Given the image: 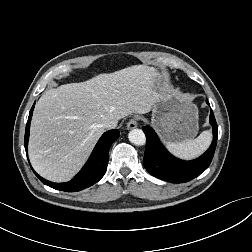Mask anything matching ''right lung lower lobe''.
Listing matches in <instances>:
<instances>
[{"mask_svg": "<svg viewBox=\"0 0 252 252\" xmlns=\"http://www.w3.org/2000/svg\"><path fill=\"white\" fill-rule=\"evenodd\" d=\"M34 105L31 108L28 117V122L26 124L25 139H24L26 153L29 139V128ZM119 134L120 132L117 129L110 130L104 133L97 142L87 163L84 165L81 171L69 182L53 183L41 178L35 171L34 173L45 185L61 191L77 192L87 187H90L103 177L107 169L109 149L113 144V142L117 140Z\"/></svg>", "mask_w": 252, "mask_h": 252, "instance_id": "right-lung-lower-lobe-1", "label": "right lung lower lobe"}]
</instances>
